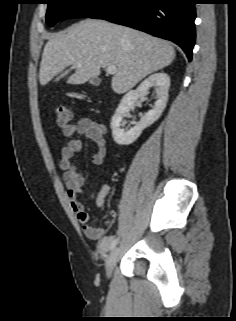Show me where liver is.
<instances>
[{
  "label": "liver",
  "instance_id": "1",
  "mask_svg": "<svg viewBox=\"0 0 236 321\" xmlns=\"http://www.w3.org/2000/svg\"><path fill=\"white\" fill-rule=\"evenodd\" d=\"M174 59L175 49L165 40L104 20L85 19L49 37L42 55L39 81L46 85L73 66L75 73L67 83L84 84L99 76L101 68L114 65L117 72L111 87L115 93L123 94Z\"/></svg>",
  "mask_w": 236,
  "mask_h": 321
}]
</instances>
